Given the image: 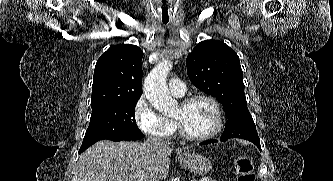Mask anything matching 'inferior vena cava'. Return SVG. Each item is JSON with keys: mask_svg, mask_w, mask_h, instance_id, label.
I'll return each instance as SVG.
<instances>
[{"mask_svg": "<svg viewBox=\"0 0 333 181\" xmlns=\"http://www.w3.org/2000/svg\"><path fill=\"white\" fill-rule=\"evenodd\" d=\"M150 149L157 151L168 147L167 142L157 137H148L145 143Z\"/></svg>", "mask_w": 333, "mask_h": 181, "instance_id": "1", "label": "inferior vena cava"}]
</instances>
